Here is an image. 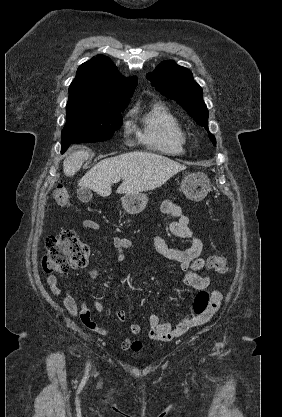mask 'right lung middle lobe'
Returning <instances> with one entry per match:
<instances>
[{
    "label": "right lung middle lobe",
    "instance_id": "right-lung-middle-lobe-1",
    "mask_svg": "<svg viewBox=\"0 0 282 417\" xmlns=\"http://www.w3.org/2000/svg\"><path fill=\"white\" fill-rule=\"evenodd\" d=\"M132 95H69L62 149L70 144L110 139L122 125L121 112Z\"/></svg>",
    "mask_w": 282,
    "mask_h": 417
}]
</instances>
